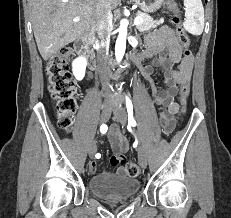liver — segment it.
Returning <instances> with one entry per match:
<instances>
[{
  "instance_id": "1",
  "label": "liver",
  "mask_w": 231,
  "mask_h": 218,
  "mask_svg": "<svg viewBox=\"0 0 231 218\" xmlns=\"http://www.w3.org/2000/svg\"><path fill=\"white\" fill-rule=\"evenodd\" d=\"M115 9L121 0H107ZM98 0H29L30 19L38 50L48 60L61 48L95 29ZM80 20L74 22V18Z\"/></svg>"
}]
</instances>
